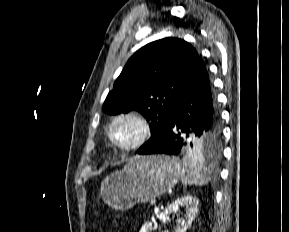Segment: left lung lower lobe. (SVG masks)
<instances>
[{
	"instance_id": "1",
	"label": "left lung lower lobe",
	"mask_w": 289,
	"mask_h": 232,
	"mask_svg": "<svg viewBox=\"0 0 289 232\" xmlns=\"http://www.w3.org/2000/svg\"><path fill=\"white\" fill-rule=\"evenodd\" d=\"M220 127L215 95L205 67L183 93L166 130L138 153H189L192 143L201 138L216 137Z\"/></svg>"
}]
</instances>
